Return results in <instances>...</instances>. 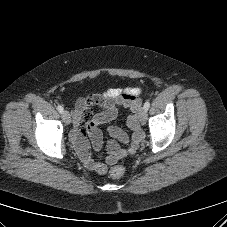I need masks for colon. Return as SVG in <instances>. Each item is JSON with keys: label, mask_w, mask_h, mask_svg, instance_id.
I'll list each match as a JSON object with an SVG mask.
<instances>
[{"label": "colon", "mask_w": 227, "mask_h": 227, "mask_svg": "<svg viewBox=\"0 0 227 227\" xmlns=\"http://www.w3.org/2000/svg\"><path fill=\"white\" fill-rule=\"evenodd\" d=\"M125 173V167L123 165H116L110 170V176L114 179L121 178Z\"/></svg>", "instance_id": "colon-1"}]
</instances>
